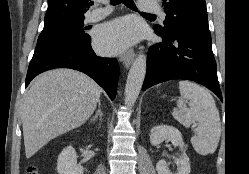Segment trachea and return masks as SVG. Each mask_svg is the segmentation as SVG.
Instances as JSON below:
<instances>
[{"instance_id":"3493384b","label":"trachea","mask_w":249,"mask_h":174,"mask_svg":"<svg viewBox=\"0 0 249 174\" xmlns=\"http://www.w3.org/2000/svg\"><path fill=\"white\" fill-rule=\"evenodd\" d=\"M112 5H118L120 3H123L125 4L128 8L132 9V10H135L137 11V8L135 6V3L133 0H111L110 1ZM142 14H146V13H143Z\"/></svg>"}]
</instances>
